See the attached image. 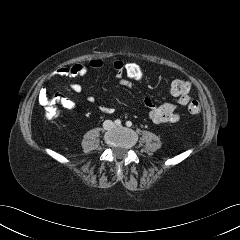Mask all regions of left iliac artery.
Masks as SVG:
<instances>
[{
  "instance_id": "obj_1",
  "label": "left iliac artery",
  "mask_w": 240,
  "mask_h": 240,
  "mask_svg": "<svg viewBox=\"0 0 240 240\" xmlns=\"http://www.w3.org/2000/svg\"><path fill=\"white\" fill-rule=\"evenodd\" d=\"M126 125H127L128 127H130V126H132V122H131V121H127V122H126Z\"/></svg>"
}]
</instances>
